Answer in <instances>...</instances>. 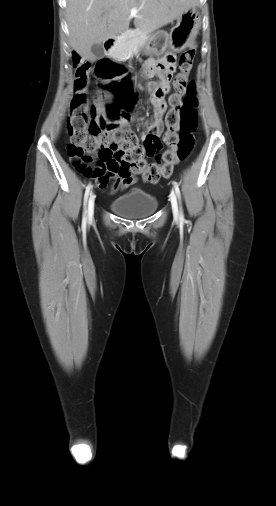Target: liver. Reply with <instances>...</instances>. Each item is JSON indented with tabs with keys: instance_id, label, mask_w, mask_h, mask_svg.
<instances>
[{
	"instance_id": "liver-1",
	"label": "liver",
	"mask_w": 276,
	"mask_h": 506,
	"mask_svg": "<svg viewBox=\"0 0 276 506\" xmlns=\"http://www.w3.org/2000/svg\"><path fill=\"white\" fill-rule=\"evenodd\" d=\"M198 0H67L70 46L83 60L94 61L93 44L125 31L132 18L137 27L155 29L171 23ZM138 10L131 16V10Z\"/></svg>"
}]
</instances>
